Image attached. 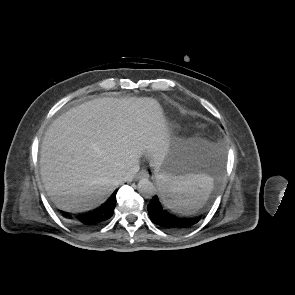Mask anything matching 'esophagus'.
Listing matches in <instances>:
<instances>
[{"label": "esophagus", "mask_w": 295, "mask_h": 295, "mask_svg": "<svg viewBox=\"0 0 295 295\" xmlns=\"http://www.w3.org/2000/svg\"><path fill=\"white\" fill-rule=\"evenodd\" d=\"M149 177V173L146 170H141L138 174H137V178L138 179H142V178H148Z\"/></svg>", "instance_id": "obj_1"}]
</instances>
